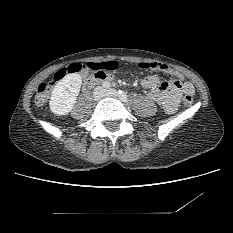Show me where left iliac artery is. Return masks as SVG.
<instances>
[{"instance_id":"1","label":"left iliac artery","mask_w":233,"mask_h":233,"mask_svg":"<svg viewBox=\"0 0 233 233\" xmlns=\"http://www.w3.org/2000/svg\"><path fill=\"white\" fill-rule=\"evenodd\" d=\"M118 95H119V97H120V99H121L122 101H127V100H128L127 95H126V93H125L124 91L119 90V91H118Z\"/></svg>"}]
</instances>
